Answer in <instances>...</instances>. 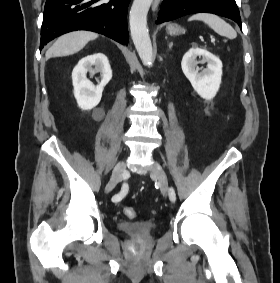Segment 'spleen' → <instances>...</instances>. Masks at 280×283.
<instances>
[{"mask_svg":"<svg viewBox=\"0 0 280 283\" xmlns=\"http://www.w3.org/2000/svg\"><path fill=\"white\" fill-rule=\"evenodd\" d=\"M189 21H203L216 33L221 36H225L229 39H235L237 37V33L233 29V27L216 15L208 13H198L192 15L189 18Z\"/></svg>","mask_w":280,"mask_h":283,"instance_id":"obj_1","label":"spleen"}]
</instances>
